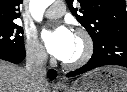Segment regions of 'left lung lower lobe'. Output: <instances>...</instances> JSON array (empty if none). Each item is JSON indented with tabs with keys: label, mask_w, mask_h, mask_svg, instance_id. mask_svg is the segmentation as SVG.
Listing matches in <instances>:
<instances>
[{
	"label": "left lung lower lobe",
	"mask_w": 127,
	"mask_h": 92,
	"mask_svg": "<svg viewBox=\"0 0 127 92\" xmlns=\"http://www.w3.org/2000/svg\"><path fill=\"white\" fill-rule=\"evenodd\" d=\"M104 65L127 67V37H108L97 47L91 59L81 68L67 74L73 77Z\"/></svg>",
	"instance_id": "left-lung-lower-lobe-1"
}]
</instances>
